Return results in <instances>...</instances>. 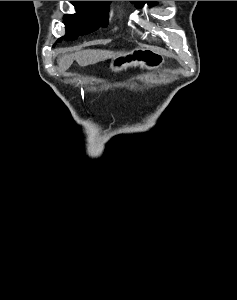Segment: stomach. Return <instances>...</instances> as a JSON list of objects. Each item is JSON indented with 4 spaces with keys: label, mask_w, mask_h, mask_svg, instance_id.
<instances>
[{
    "label": "stomach",
    "mask_w": 237,
    "mask_h": 300,
    "mask_svg": "<svg viewBox=\"0 0 237 300\" xmlns=\"http://www.w3.org/2000/svg\"><path fill=\"white\" fill-rule=\"evenodd\" d=\"M164 63L165 57L159 51H154L152 47H139V49H133L125 55L114 57L109 69L114 73L128 69V67H141V69H147V71H154V69L163 67Z\"/></svg>",
    "instance_id": "obj_1"
}]
</instances>
